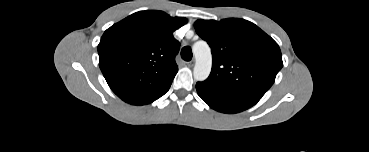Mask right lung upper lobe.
<instances>
[{"instance_id":"cb5924a9","label":"right lung upper lobe","mask_w":369,"mask_h":152,"mask_svg":"<svg viewBox=\"0 0 369 152\" xmlns=\"http://www.w3.org/2000/svg\"><path fill=\"white\" fill-rule=\"evenodd\" d=\"M186 18L157 10L136 12L108 28L98 45L99 66L123 101L142 105L165 93L178 72L173 32Z\"/></svg>"}]
</instances>
